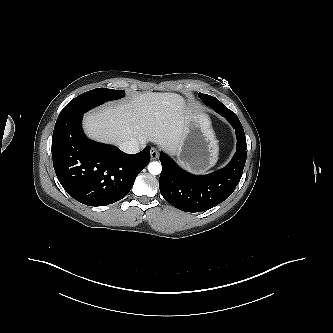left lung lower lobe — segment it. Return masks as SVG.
Wrapping results in <instances>:
<instances>
[{"instance_id":"1","label":"left lung lower lobe","mask_w":333,"mask_h":333,"mask_svg":"<svg viewBox=\"0 0 333 333\" xmlns=\"http://www.w3.org/2000/svg\"><path fill=\"white\" fill-rule=\"evenodd\" d=\"M202 101L232 125L236 133L237 147L227 166L207 175L191 174L161 152V194L171 205L186 212L205 211L226 200L239 183L246 162V138L236 114L213 96L205 97Z\"/></svg>"}]
</instances>
